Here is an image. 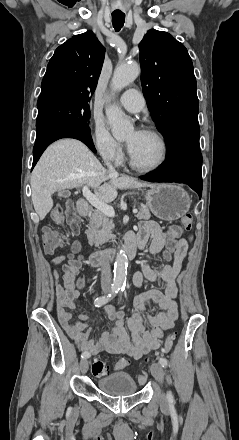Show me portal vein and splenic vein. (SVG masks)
I'll use <instances>...</instances> for the list:
<instances>
[{"label":"portal vein and splenic vein","mask_w":239,"mask_h":440,"mask_svg":"<svg viewBox=\"0 0 239 440\" xmlns=\"http://www.w3.org/2000/svg\"><path fill=\"white\" fill-rule=\"evenodd\" d=\"M83 196L84 198H86V200H88L89 204H91V206H94V208H97V210H99V212H102V214H105V216H109V218H114L115 216V212H114V208H112V206H108V204H104V202H101V200H99V198H97V196H94V194H92V192H90L88 186H84L83 190ZM137 210L134 209L132 211V214L138 215V212H136Z\"/></svg>","instance_id":"18ae733b"}]
</instances>
